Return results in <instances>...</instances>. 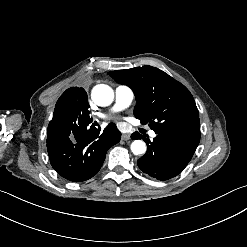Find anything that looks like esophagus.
<instances>
[{
    "label": "esophagus",
    "mask_w": 247,
    "mask_h": 247,
    "mask_svg": "<svg viewBox=\"0 0 247 247\" xmlns=\"http://www.w3.org/2000/svg\"><path fill=\"white\" fill-rule=\"evenodd\" d=\"M122 139L123 140H129L130 139V134L129 133H123L122 134Z\"/></svg>",
    "instance_id": "34e87169"
}]
</instances>
